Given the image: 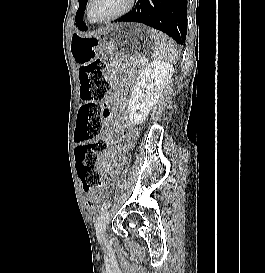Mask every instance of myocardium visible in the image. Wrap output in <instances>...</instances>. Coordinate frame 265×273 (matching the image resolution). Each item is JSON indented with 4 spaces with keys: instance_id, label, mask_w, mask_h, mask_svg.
Wrapping results in <instances>:
<instances>
[{
    "instance_id": "obj_1",
    "label": "myocardium",
    "mask_w": 265,
    "mask_h": 273,
    "mask_svg": "<svg viewBox=\"0 0 265 273\" xmlns=\"http://www.w3.org/2000/svg\"><path fill=\"white\" fill-rule=\"evenodd\" d=\"M135 2H136V0H128L127 5L122 10L117 12L116 14H114L110 17H107L105 19L96 20V19H93L90 14V7H91L92 0H88L87 4H86V16L90 22L95 23V24L108 23V22L117 20V19L123 17L124 15H126L127 13H129L133 9V7L135 6Z\"/></svg>"
}]
</instances>
